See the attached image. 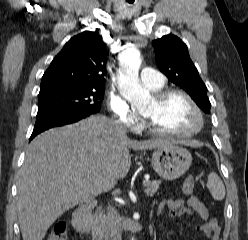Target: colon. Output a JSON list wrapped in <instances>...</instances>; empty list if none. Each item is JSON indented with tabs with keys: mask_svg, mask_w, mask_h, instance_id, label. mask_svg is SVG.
Returning a JSON list of instances; mask_svg holds the SVG:
<instances>
[{
	"mask_svg": "<svg viewBox=\"0 0 248 240\" xmlns=\"http://www.w3.org/2000/svg\"><path fill=\"white\" fill-rule=\"evenodd\" d=\"M195 186V179L189 176L183 183V192L186 195L192 194ZM46 240H67V227L65 222H57L53 226Z\"/></svg>",
	"mask_w": 248,
	"mask_h": 240,
	"instance_id": "5ec220e1",
	"label": "colon"
}]
</instances>
